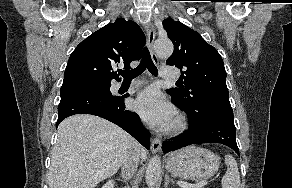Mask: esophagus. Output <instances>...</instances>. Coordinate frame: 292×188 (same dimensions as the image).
<instances>
[{"mask_svg": "<svg viewBox=\"0 0 292 188\" xmlns=\"http://www.w3.org/2000/svg\"><path fill=\"white\" fill-rule=\"evenodd\" d=\"M145 30H146V33H147V46L149 48V51L151 53V57L154 61V63L158 64L159 63V60H158V57L154 51V48H153V44H154V40H155V35H156V31H155V28L154 26L151 24V23H147L145 25ZM161 140L156 137L152 140V143H151V151L152 153H157L160 151L161 149Z\"/></svg>", "mask_w": 292, "mask_h": 188, "instance_id": "esophagus-1", "label": "esophagus"}]
</instances>
